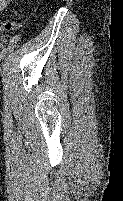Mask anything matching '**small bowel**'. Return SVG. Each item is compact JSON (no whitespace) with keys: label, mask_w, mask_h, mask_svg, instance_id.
<instances>
[{"label":"small bowel","mask_w":123,"mask_h":201,"mask_svg":"<svg viewBox=\"0 0 123 201\" xmlns=\"http://www.w3.org/2000/svg\"><path fill=\"white\" fill-rule=\"evenodd\" d=\"M11 0H0V9L8 4ZM21 24L15 21L0 22V32L2 31H18Z\"/></svg>","instance_id":"1"}]
</instances>
